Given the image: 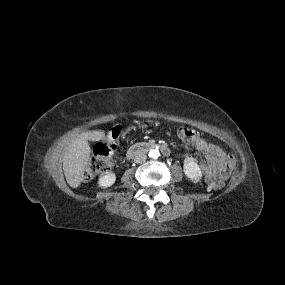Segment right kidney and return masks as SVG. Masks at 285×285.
Returning <instances> with one entry per match:
<instances>
[{
    "mask_svg": "<svg viewBox=\"0 0 285 285\" xmlns=\"http://www.w3.org/2000/svg\"><path fill=\"white\" fill-rule=\"evenodd\" d=\"M116 181V175L114 173H106L105 175L101 176L98 184L102 188H108L114 184Z\"/></svg>",
    "mask_w": 285,
    "mask_h": 285,
    "instance_id": "ca27d5eb",
    "label": "right kidney"
}]
</instances>
